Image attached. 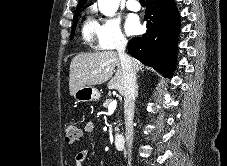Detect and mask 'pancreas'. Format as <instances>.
Returning <instances> with one entry per match:
<instances>
[{
  "mask_svg": "<svg viewBox=\"0 0 227 166\" xmlns=\"http://www.w3.org/2000/svg\"><path fill=\"white\" fill-rule=\"evenodd\" d=\"M111 103V99H106L105 102L103 103V107L107 108L109 106V104ZM118 127L116 128V131H118Z\"/></svg>",
  "mask_w": 227,
  "mask_h": 166,
  "instance_id": "pancreas-1",
  "label": "pancreas"
}]
</instances>
